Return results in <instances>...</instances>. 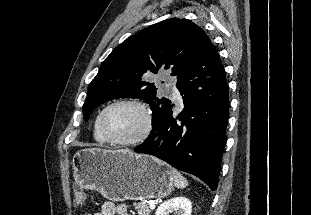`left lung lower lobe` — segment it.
I'll list each match as a JSON object with an SVG mask.
<instances>
[{
  "mask_svg": "<svg viewBox=\"0 0 311 215\" xmlns=\"http://www.w3.org/2000/svg\"><path fill=\"white\" fill-rule=\"evenodd\" d=\"M183 110L169 100L152 123L148 138L134 151L156 156L217 189L226 143L228 85L220 56L206 35L200 49L177 76Z\"/></svg>",
  "mask_w": 311,
  "mask_h": 215,
  "instance_id": "obj_1",
  "label": "left lung lower lobe"
}]
</instances>
